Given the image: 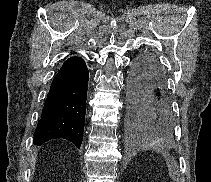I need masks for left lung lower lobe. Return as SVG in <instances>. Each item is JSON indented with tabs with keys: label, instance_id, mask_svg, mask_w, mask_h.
I'll list each match as a JSON object with an SVG mask.
<instances>
[{
	"label": "left lung lower lobe",
	"instance_id": "left-lung-lower-lobe-1",
	"mask_svg": "<svg viewBox=\"0 0 211 182\" xmlns=\"http://www.w3.org/2000/svg\"><path fill=\"white\" fill-rule=\"evenodd\" d=\"M130 110L134 119L157 136H168L174 125L164 72L157 58L141 53L133 61L128 78Z\"/></svg>",
	"mask_w": 211,
	"mask_h": 182
}]
</instances>
